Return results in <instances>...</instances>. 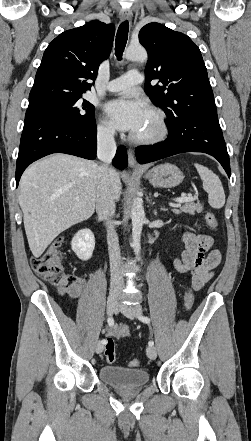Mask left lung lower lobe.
<instances>
[{
    "label": "left lung lower lobe",
    "instance_id": "0a47b994",
    "mask_svg": "<svg viewBox=\"0 0 251 441\" xmlns=\"http://www.w3.org/2000/svg\"><path fill=\"white\" fill-rule=\"evenodd\" d=\"M184 152H203L213 156L230 177L229 156L217 114L183 117L169 128L168 137L164 142L135 149L140 164Z\"/></svg>",
    "mask_w": 251,
    "mask_h": 441
}]
</instances>
